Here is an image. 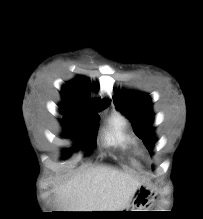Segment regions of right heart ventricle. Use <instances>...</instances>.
I'll return each mask as SVG.
<instances>
[{
    "mask_svg": "<svg viewBox=\"0 0 203 219\" xmlns=\"http://www.w3.org/2000/svg\"><path fill=\"white\" fill-rule=\"evenodd\" d=\"M108 135L115 146L121 149H130L133 146V138L130 134L126 120L119 114L112 116L109 122Z\"/></svg>",
    "mask_w": 203,
    "mask_h": 219,
    "instance_id": "1",
    "label": "right heart ventricle"
}]
</instances>
